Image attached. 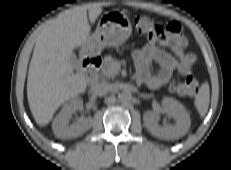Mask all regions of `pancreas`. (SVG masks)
I'll return each mask as SVG.
<instances>
[{
  "label": "pancreas",
  "instance_id": "pancreas-1",
  "mask_svg": "<svg viewBox=\"0 0 231 170\" xmlns=\"http://www.w3.org/2000/svg\"><path fill=\"white\" fill-rule=\"evenodd\" d=\"M116 63L117 61L111 56H105L101 70V76L104 78H114L119 72V70L113 68Z\"/></svg>",
  "mask_w": 231,
  "mask_h": 170
}]
</instances>
